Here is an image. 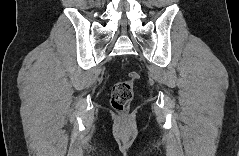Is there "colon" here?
Listing matches in <instances>:
<instances>
[{
    "instance_id": "1",
    "label": "colon",
    "mask_w": 239,
    "mask_h": 156,
    "mask_svg": "<svg viewBox=\"0 0 239 156\" xmlns=\"http://www.w3.org/2000/svg\"><path fill=\"white\" fill-rule=\"evenodd\" d=\"M139 78L137 72L131 71L126 80L114 85L111 92V105L114 110L119 113L127 112L134 97V84Z\"/></svg>"
}]
</instances>
